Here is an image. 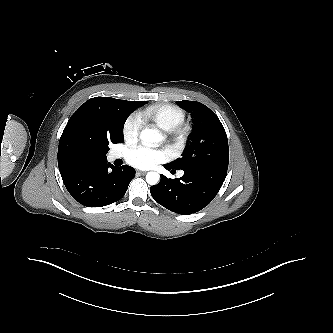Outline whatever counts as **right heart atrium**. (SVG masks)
I'll use <instances>...</instances> for the list:
<instances>
[{"label": "right heart atrium", "mask_w": 333, "mask_h": 333, "mask_svg": "<svg viewBox=\"0 0 333 333\" xmlns=\"http://www.w3.org/2000/svg\"><path fill=\"white\" fill-rule=\"evenodd\" d=\"M141 128H142V121L140 116L136 113L129 115L126 118L122 128V133L126 142L128 143L136 142L140 135Z\"/></svg>", "instance_id": "obj_1"}]
</instances>
